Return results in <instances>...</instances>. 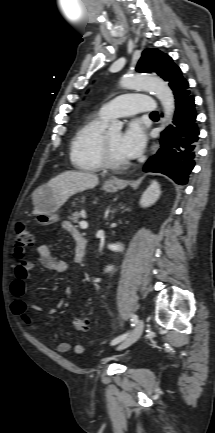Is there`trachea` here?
<instances>
[{"label":"trachea","mask_w":215,"mask_h":433,"mask_svg":"<svg viewBox=\"0 0 215 433\" xmlns=\"http://www.w3.org/2000/svg\"><path fill=\"white\" fill-rule=\"evenodd\" d=\"M151 115L153 116V115H158V113L157 112H153V113H151Z\"/></svg>","instance_id":"3493384b"}]
</instances>
